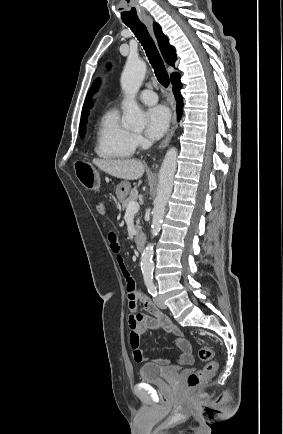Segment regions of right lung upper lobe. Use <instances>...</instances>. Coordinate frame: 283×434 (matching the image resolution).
<instances>
[{
	"mask_svg": "<svg viewBox=\"0 0 283 434\" xmlns=\"http://www.w3.org/2000/svg\"><path fill=\"white\" fill-rule=\"evenodd\" d=\"M154 32H155L156 38L158 40L160 51H161L165 61L169 65L174 66L175 61L177 59L175 48L169 44L168 38L163 34L160 25L157 23H154ZM176 73L177 72L173 73L171 76L175 75ZM88 102H89V94L87 95V98L85 100V103H84V106L82 109L81 123L87 122Z\"/></svg>",
	"mask_w": 283,
	"mask_h": 434,
	"instance_id": "obj_1",
	"label": "right lung upper lobe"
}]
</instances>
